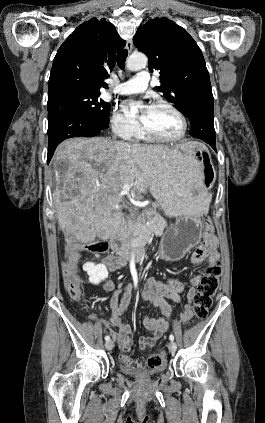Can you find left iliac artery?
Instances as JSON below:
<instances>
[{"label":"left iliac artery","mask_w":265,"mask_h":423,"mask_svg":"<svg viewBox=\"0 0 265 423\" xmlns=\"http://www.w3.org/2000/svg\"><path fill=\"white\" fill-rule=\"evenodd\" d=\"M169 339H170L171 341H173V340H174V336L171 334V335L169 336Z\"/></svg>","instance_id":"44dca946"}]
</instances>
